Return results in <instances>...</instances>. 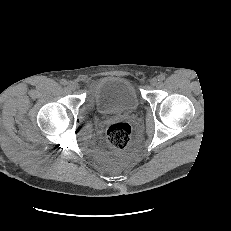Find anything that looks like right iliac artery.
Wrapping results in <instances>:
<instances>
[{
  "mask_svg": "<svg viewBox=\"0 0 231 231\" xmlns=\"http://www.w3.org/2000/svg\"><path fill=\"white\" fill-rule=\"evenodd\" d=\"M60 83H61L62 85H66V84H67V81H66L65 79H62V80L60 81Z\"/></svg>",
  "mask_w": 231,
  "mask_h": 231,
  "instance_id": "obj_1",
  "label": "right iliac artery"
}]
</instances>
